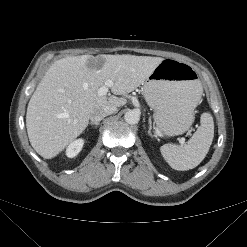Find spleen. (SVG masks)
I'll return each mask as SVG.
<instances>
[{"mask_svg":"<svg viewBox=\"0 0 247 247\" xmlns=\"http://www.w3.org/2000/svg\"><path fill=\"white\" fill-rule=\"evenodd\" d=\"M201 125L184 146L164 144L160 152L175 170L185 171L197 167L205 158L214 138V122L210 113L201 115Z\"/></svg>","mask_w":247,"mask_h":247,"instance_id":"1","label":"spleen"}]
</instances>
